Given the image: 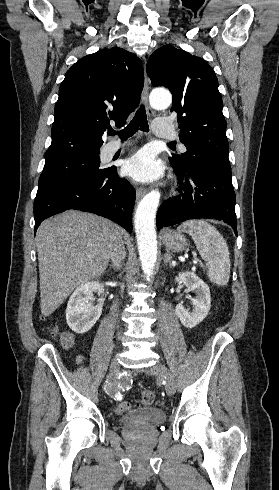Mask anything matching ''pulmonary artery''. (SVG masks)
Segmentation results:
<instances>
[{
    "instance_id": "e3ab8cb5",
    "label": "pulmonary artery",
    "mask_w": 279,
    "mask_h": 490,
    "mask_svg": "<svg viewBox=\"0 0 279 490\" xmlns=\"http://www.w3.org/2000/svg\"><path fill=\"white\" fill-rule=\"evenodd\" d=\"M172 125L169 122L167 117H157L155 122L152 124L153 131L158 134L160 140H172L175 137V134L171 130ZM117 144H109L106 147L107 155L112 156L117 153L121 147L120 146H135L137 144V139L135 137H119L117 139ZM182 149H185L183 144H180Z\"/></svg>"
}]
</instances>
